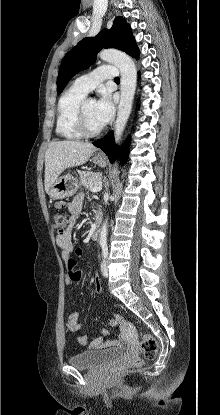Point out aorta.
Returning a JSON list of instances; mask_svg holds the SVG:
<instances>
[{
  "label": "aorta",
  "mask_w": 220,
  "mask_h": 415,
  "mask_svg": "<svg viewBox=\"0 0 220 415\" xmlns=\"http://www.w3.org/2000/svg\"><path fill=\"white\" fill-rule=\"evenodd\" d=\"M101 60L114 64L121 73L120 81V103L118 106L117 119L114 127L115 140L118 142L127 124L131 113L134 99L137 70L134 61L125 53L115 49H104L99 53ZM117 174V167L113 171ZM108 227L107 221L103 224L100 232L99 242L105 244L107 241Z\"/></svg>",
  "instance_id": "1"
}]
</instances>
